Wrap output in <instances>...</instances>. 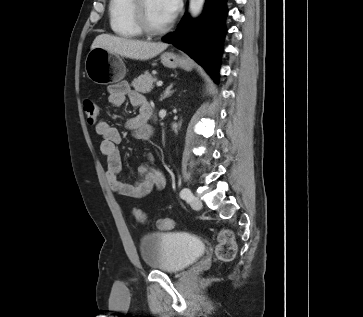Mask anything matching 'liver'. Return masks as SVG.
I'll use <instances>...</instances> for the list:
<instances>
[{
    "instance_id": "liver-1",
    "label": "liver",
    "mask_w": 363,
    "mask_h": 317,
    "mask_svg": "<svg viewBox=\"0 0 363 317\" xmlns=\"http://www.w3.org/2000/svg\"><path fill=\"white\" fill-rule=\"evenodd\" d=\"M97 47L104 48L126 58L148 60L164 51L168 47V44L127 39L110 34H100L94 39L91 49Z\"/></svg>"
}]
</instances>
